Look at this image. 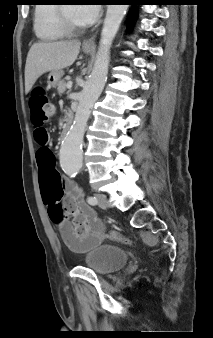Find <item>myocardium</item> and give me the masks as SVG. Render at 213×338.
Masks as SVG:
<instances>
[{
    "instance_id": "f54148a6",
    "label": "myocardium",
    "mask_w": 213,
    "mask_h": 338,
    "mask_svg": "<svg viewBox=\"0 0 213 338\" xmlns=\"http://www.w3.org/2000/svg\"><path fill=\"white\" fill-rule=\"evenodd\" d=\"M59 26L67 35H75L83 32L86 27L77 25L66 12V5H58Z\"/></svg>"
}]
</instances>
